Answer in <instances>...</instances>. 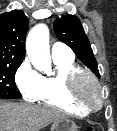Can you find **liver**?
Here are the masks:
<instances>
[{
	"label": "liver",
	"instance_id": "1",
	"mask_svg": "<svg viewBox=\"0 0 117 131\" xmlns=\"http://www.w3.org/2000/svg\"><path fill=\"white\" fill-rule=\"evenodd\" d=\"M63 118L65 114L49 106L0 102V131H39Z\"/></svg>",
	"mask_w": 117,
	"mask_h": 131
}]
</instances>
